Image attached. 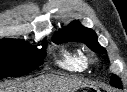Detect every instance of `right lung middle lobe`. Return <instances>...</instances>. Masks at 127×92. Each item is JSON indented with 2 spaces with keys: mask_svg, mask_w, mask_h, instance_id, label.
<instances>
[{
  "mask_svg": "<svg viewBox=\"0 0 127 92\" xmlns=\"http://www.w3.org/2000/svg\"><path fill=\"white\" fill-rule=\"evenodd\" d=\"M24 44L21 40H0V79L25 75L43 63L45 43L40 50Z\"/></svg>",
  "mask_w": 127,
  "mask_h": 92,
  "instance_id": "dd1d6c3e",
  "label": "right lung middle lobe"
}]
</instances>
